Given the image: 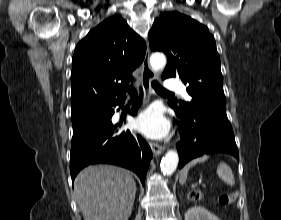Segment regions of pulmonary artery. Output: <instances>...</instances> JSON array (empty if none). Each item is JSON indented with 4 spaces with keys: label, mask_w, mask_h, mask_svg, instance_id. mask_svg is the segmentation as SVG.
I'll list each match as a JSON object with an SVG mask.
<instances>
[{
    "label": "pulmonary artery",
    "mask_w": 281,
    "mask_h": 220,
    "mask_svg": "<svg viewBox=\"0 0 281 220\" xmlns=\"http://www.w3.org/2000/svg\"><path fill=\"white\" fill-rule=\"evenodd\" d=\"M165 87L169 91L179 92L187 100L191 99V97L186 92L184 85L179 80L169 79L165 82Z\"/></svg>",
    "instance_id": "e3ab8cb5"
}]
</instances>
